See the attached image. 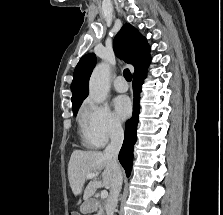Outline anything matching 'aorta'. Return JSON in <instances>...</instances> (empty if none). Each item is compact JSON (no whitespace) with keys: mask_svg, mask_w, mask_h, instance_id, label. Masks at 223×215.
<instances>
[{"mask_svg":"<svg viewBox=\"0 0 223 215\" xmlns=\"http://www.w3.org/2000/svg\"><path fill=\"white\" fill-rule=\"evenodd\" d=\"M109 78L110 66L105 64V62L97 64L89 80V98L93 102H96V104H100V102L106 100V96L110 90Z\"/></svg>","mask_w":223,"mask_h":215,"instance_id":"762f6f07","label":"aorta"}]
</instances>
